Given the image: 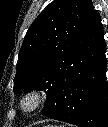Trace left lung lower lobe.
Returning <instances> with one entry per match:
<instances>
[{
	"mask_svg": "<svg viewBox=\"0 0 108 127\" xmlns=\"http://www.w3.org/2000/svg\"><path fill=\"white\" fill-rule=\"evenodd\" d=\"M103 28L90 2L65 61L61 84L44 114L79 127H107L108 103Z\"/></svg>",
	"mask_w": 108,
	"mask_h": 127,
	"instance_id": "0a47b994",
	"label": "left lung lower lobe"
}]
</instances>
